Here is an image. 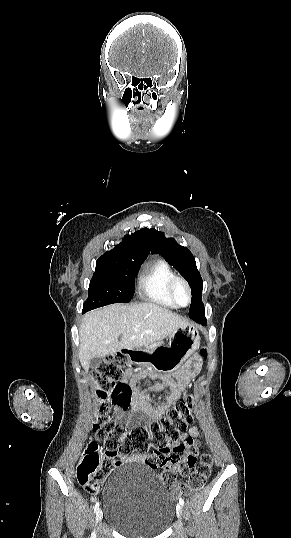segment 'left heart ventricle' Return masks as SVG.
Masks as SVG:
<instances>
[{"label":"left heart ventricle","instance_id":"1","mask_svg":"<svg viewBox=\"0 0 291 538\" xmlns=\"http://www.w3.org/2000/svg\"><path fill=\"white\" fill-rule=\"evenodd\" d=\"M177 298L181 304H185L187 302V293L182 286L177 288Z\"/></svg>","mask_w":291,"mask_h":538}]
</instances>
